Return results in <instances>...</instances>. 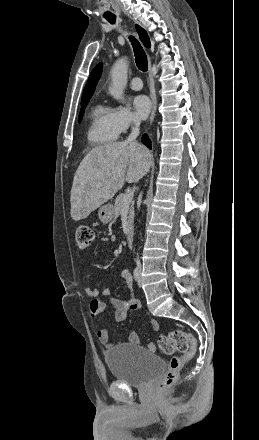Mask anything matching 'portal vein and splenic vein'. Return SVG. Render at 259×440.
<instances>
[{"label": "portal vein and splenic vein", "instance_id": "obj_1", "mask_svg": "<svg viewBox=\"0 0 259 440\" xmlns=\"http://www.w3.org/2000/svg\"><path fill=\"white\" fill-rule=\"evenodd\" d=\"M133 192H128L122 199L123 205L127 206L128 204L131 203L132 199H133Z\"/></svg>", "mask_w": 259, "mask_h": 440}]
</instances>
